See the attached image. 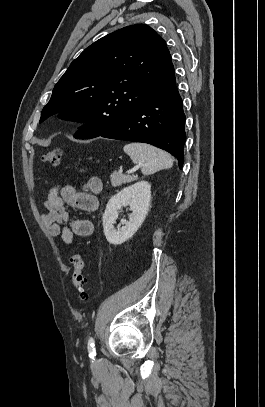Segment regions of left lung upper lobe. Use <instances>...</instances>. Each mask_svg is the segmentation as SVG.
<instances>
[{
	"mask_svg": "<svg viewBox=\"0 0 265 407\" xmlns=\"http://www.w3.org/2000/svg\"><path fill=\"white\" fill-rule=\"evenodd\" d=\"M166 42L144 24L99 39L76 58L56 83L40 123L60 113L87 122L74 135L95 138L112 129L173 78Z\"/></svg>",
	"mask_w": 265,
	"mask_h": 407,
	"instance_id": "left-lung-upper-lobe-1",
	"label": "left lung upper lobe"
}]
</instances>
